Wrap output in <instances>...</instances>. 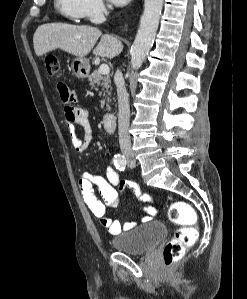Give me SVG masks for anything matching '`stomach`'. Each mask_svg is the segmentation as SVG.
Masks as SVG:
<instances>
[{
  "label": "stomach",
  "mask_w": 247,
  "mask_h": 299,
  "mask_svg": "<svg viewBox=\"0 0 247 299\" xmlns=\"http://www.w3.org/2000/svg\"><path fill=\"white\" fill-rule=\"evenodd\" d=\"M71 68L73 74L79 78L84 79L88 77L90 72V64L89 61L82 57H77L72 61Z\"/></svg>",
  "instance_id": "obj_1"
}]
</instances>
